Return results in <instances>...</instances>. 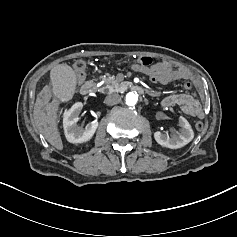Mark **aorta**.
Masks as SVG:
<instances>
[{"label":"aorta","mask_w":237,"mask_h":237,"mask_svg":"<svg viewBox=\"0 0 237 237\" xmlns=\"http://www.w3.org/2000/svg\"><path fill=\"white\" fill-rule=\"evenodd\" d=\"M138 101V97L133 92H129L126 95V104L129 106H134Z\"/></svg>","instance_id":"1"}]
</instances>
